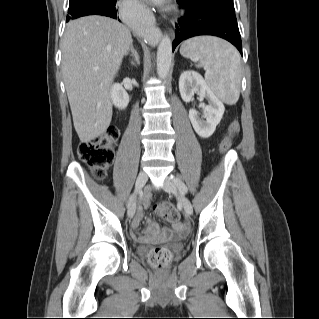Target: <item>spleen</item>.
Returning <instances> with one entry per match:
<instances>
[{
    "mask_svg": "<svg viewBox=\"0 0 319 319\" xmlns=\"http://www.w3.org/2000/svg\"><path fill=\"white\" fill-rule=\"evenodd\" d=\"M180 53L185 58L199 61L206 71V84L222 102L234 105L238 101L241 60L232 45L216 37H194L181 45Z\"/></svg>",
    "mask_w": 319,
    "mask_h": 319,
    "instance_id": "3e777b00",
    "label": "spleen"
}]
</instances>
